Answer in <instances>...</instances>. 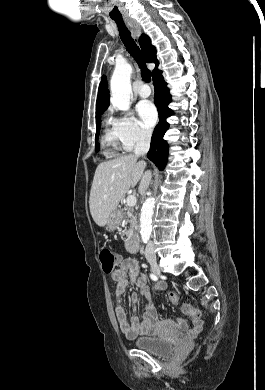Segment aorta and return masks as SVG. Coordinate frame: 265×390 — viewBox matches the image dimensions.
<instances>
[{"label": "aorta", "mask_w": 265, "mask_h": 390, "mask_svg": "<svg viewBox=\"0 0 265 390\" xmlns=\"http://www.w3.org/2000/svg\"><path fill=\"white\" fill-rule=\"evenodd\" d=\"M132 66L128 63H118L115 66L110 81L111 102L119 110L127 111L130 108ZM155 207L154 197H148L141 209L140 235L144 243L150 239L152 232V215Z\"/></svg>", "instance_id": "aorta-1"}]
</instances>
